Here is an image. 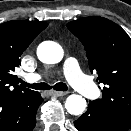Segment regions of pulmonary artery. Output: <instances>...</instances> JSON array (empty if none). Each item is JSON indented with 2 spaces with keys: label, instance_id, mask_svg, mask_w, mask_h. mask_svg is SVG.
I'll return each mask as SVG.
<instances>
[{
  "label": "pulmonary artery",
  "instance_id": "pulmonary-artery-1",
  "mask_svg": "<svg viewBox=\"0 0 131 131\" xmlns=\"http://www.w3.org/2000/svg\"><path fill=\"white\" fill-rule=\"evenodd\" d=\"M64 73L70 84L82 95L93 98L97 95L95 84L81 71L79 64L75 58H67L64 62ZM40 74H30L27 76L29 82L40 80Z\"/></svg>",
  "mask_w": 131,
  "mask_h": 131
}]
</instances>
